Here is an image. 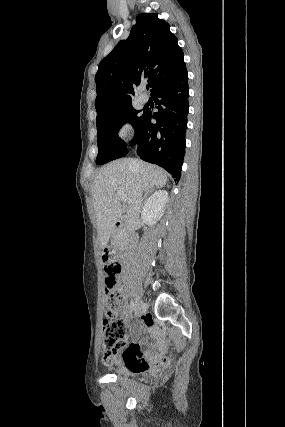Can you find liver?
Instances as JSON below:
<instances>
[{"label": "liver", "instance_id": "liver-1", "mask_svg": "<svg viewBox=\"0 0 285 427\" xmlns=\"http://www.w3.org/2000/svg\"><path fill=\"white\" fill-rule=\"evenodd\" d=\"M168 176L162 168L133 158H122L99 169L91 193L101 249L107 246L123 212L118 193L124 194L129 204L139 188L146 193L161 188Z\"/></svg>", "mask_w": 285, "mask_h": 427}]
</instances>
